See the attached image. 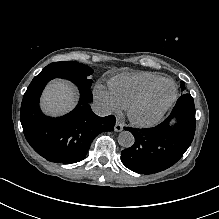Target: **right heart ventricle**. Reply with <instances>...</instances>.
I'll use <instances>...</instances> for the list:
<instances>
[{
	"instance_id": "e07e8e85",
	"label": "right heart ventricle",
	"mask_w": 219,
	"mask_h": 219,
	"mask_svg": "<svg viewBox=\"0 0 219 219\" xmlns=\"http://www.w3.org/2000/svg\"><path fill=\"white\" fill-rule=\"evenodd\" d=\"M159 79L161 76L149 72L120 75L109 82L110 94L120 106L127 108Z\"/></svg>"
}]
</instances>
